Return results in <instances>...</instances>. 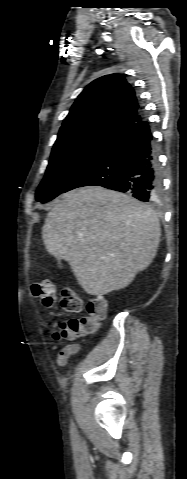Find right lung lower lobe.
Segmentation results:
<instances>
[{"instance_id": "right-lung-lower-lobe-1", "label": "right lung lower lobe", "mask_w": 187, "mask_h": 479, "mask_svg": "<svg viewBox=\"0 0 187 479\" xmlns=\"http://www.w3.org/2000/svg\"><path fill=\"white\" fill-rule=\"evenodd\" d=\"M97 185L129 192L141 201H155L162 192V179L154 138L148 122L141 119L78 173L62 193Z\"/></svg>"}]
</instances>
